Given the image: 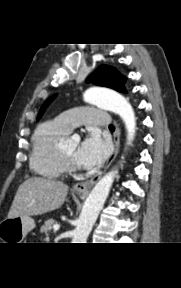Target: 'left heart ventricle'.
Returning <instances> with one entry per match:
<instances>
[{
	"mask_svg": "<svg viewBox=\"0 0 181 288\" xmlns=\"http://www.w3.org/2000/svg\"><path fill=\"white\" fill-rule=\"evenodd\" d=\"M62 149L64 153L75 162V155L78 149V143L77 142L69 143L65 145Z\"/></svg>",
	"mask_w": 181,
	"mask_h": 288,
	"instance_id": "1",
	"label": "left heart ventricle"
}]
</instances>
